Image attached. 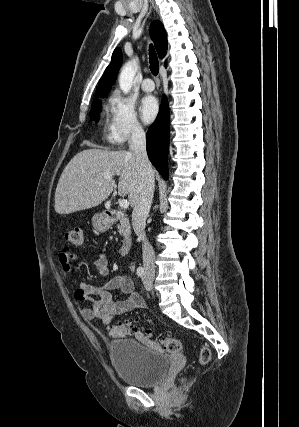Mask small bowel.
Instances as JSON below:
<instances>
[{
    "label": "small bowel",
    "mask_w": 299,
    "mask_h": 427,
    "mask_svg": "<svg viewBox=\"0 0 299 427\" xmlns=\"http://www.w3.org/2000/svg\"><path fill=\"white\" fill-rule=\"evenodd\" d=\"M77 260L78 255L68 247L59 254V262L62 269L67 273L73 270ZM94 265L100 275H108L109 263L106 254L99 253ZM113 291H119L126 295V299L114 300ZM73 297L78 302L89 303L88 307L81 309V315L85 320H98L104 325H108L113 318L119 315L144 307L143 299L134 291L132 279L121 275H117L101 285L79 281ZM137 336L139 338L145 337L141 331L137 332Z\"/></svg>",
    "instance_id": "1"
}]
</instances>
